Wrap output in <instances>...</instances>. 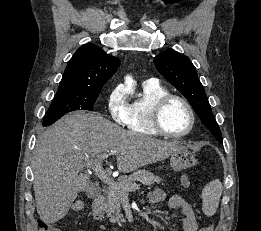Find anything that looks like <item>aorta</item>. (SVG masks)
Wrapping results in <instances>:
<instances>
[{
    "label": "aorta",
    "mask_w": 261,
    "mask_h": 231,
    "mask_svg": "<svg viewBox=\"0 0 261 231\" xmlns=\"http://www.w3.org/2000/svg\"><path fill=\"white\" fill-rule=\"evenodd\" d=\"M132 77H130V76H127L126 78H125V83L126 84H128V85H130L131 83H132Z\"/></svg>",
    "instance_id": "aorta-1"
}]
</instances>
